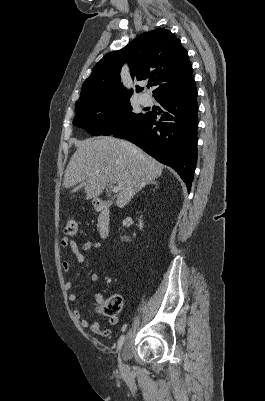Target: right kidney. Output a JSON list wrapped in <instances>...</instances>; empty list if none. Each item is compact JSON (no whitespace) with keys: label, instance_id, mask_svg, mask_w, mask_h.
I'll return each mask as SVG.
<instances>
[{"label":"right kidney","instance_id":"right-kidney-1","mask_svg":"<svg viewBox=\"0 0 265 401\" xmlns=\"http://www.w3.org/2000/svg\"><path fill=\"white\" fill-rule=\"evenodd\" d=\"M139 227H140V229H142V227H143V223H142L141 219L139 221Z\"/></svg>","mask_w":265,"mask_h":401}]
</instances>
